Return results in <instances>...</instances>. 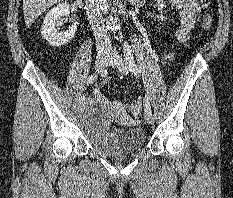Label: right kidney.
I'll list each match as a JSON object with an SVG mask.
<instances>
[{
  "label": "right kidney",
  "instance_id": "1",
  "mask_svg": "<svg viewBox=\"0 0 233 198\" xmlns=\"http://www.w3.org/2000/svg\"><path fill=\"white\" fill-rule=\"evenodd\" d=\"M70 11L68 3H61L51 9L45 16L41 35L53 47H61L72 40L77 32V26L72 25L65 32L58 31V20L62 16H67Z\"/></svg>",
  "mask_w": 233,
  "mask_h": 198
}]
</instances>
